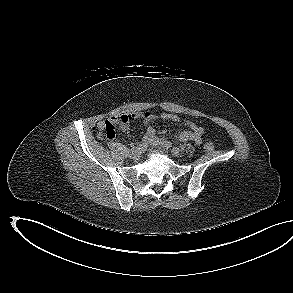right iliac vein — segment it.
<instances>
[{
    "instance_id": "63e3f726",
    "label": "right iliac vein",
    "mask_w": 293,
    "mask_h": 293,
    "mask_svg": "<svg viewBox=\"0 0 293 293\" xmlns=\"http://www.w3.org/2000/svg\"><path fill=\"white\" fill-rule=\"evenodd\" d=\"M140 154H141V150L140 149H132L130 152H129V156L130 158L132 159H138L140 157Z\"/></svg>"
}]
</instances>
